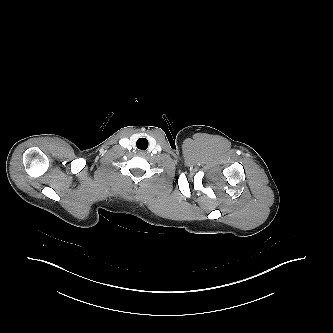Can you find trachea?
<instances>
[{"instance_id": "3493384b", "label": "trachea", "mask_w": 333, "mask_h": 333, "mask_svg": "<svg viewBox=\"0 0 333 333\" xmlns=\"http://www.w3.org/2000/svg\"><path fill=\"white\" fill-rule=\"evenodd\" d=\"M148 140L146 138H139L137 140V148L140 149V150H146L148 148Z\"/></svg>"}]
</instances>
